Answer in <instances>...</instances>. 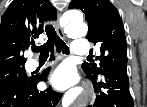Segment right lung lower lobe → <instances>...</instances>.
Returning <instances> with one entry per match:
<instances>
[{
  "label": "right lung lower lobe",
  "mask_w": 147,
  "mask_h": 107,
  "mask_svg": "<svg viewBox=\"0 0 147 107\" xmlns=\"http://www.w3.org/2000/svg\"><path fill=\"white\" fill-rule=\"evenodd\" d=\"M53 59V56H52ZM50 68L42 75L32 76L26 82L17 83L0 90V107H55L62 93L53 91H38L37 84L44 80Z\"/></svg>",
  "instance_id": "98d812e1"
}]
</instances>
